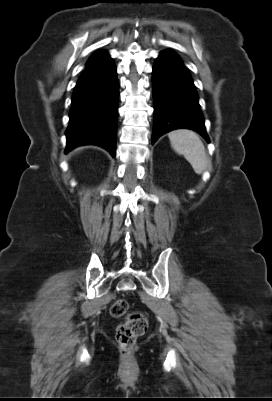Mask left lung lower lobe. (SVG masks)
I'll list each match as a JSON object with an SVG mask.
<instances>
[{
  "label": "left lung lower lobe",
  "mask_w": 272,
  "mask_h": 401,
  "mask_svg": "<svg viewBox=\"0 0 272 401\" xmlns=\"http://www.w3.org/2000/svg\"><path fill=\"white\" fill-rule=\"evenodd\" d=\"M154 126L152 144L179 128L198 132L209 142L192 78L179 56L165 50L153 66Z\"/></svg>",
  "instance_id": "1"
}]
</instances>
